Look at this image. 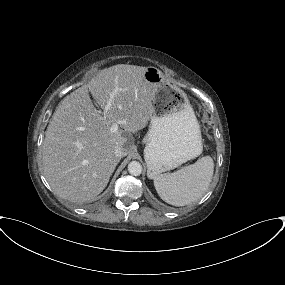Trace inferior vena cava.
I'll list each match as a JSON object with an SVG mask.
<instances>
[{"label": "inferior vena cava", "instance_id": "obj_1", "mask_svg": "<svg viewBox=\"0 0 285 285\" xmlns=\"http://www.w3.org/2000/svg\"><path fill=\"white\" fill-rule=\"evenodd\" d=\"M125 155H126V153H125V151L123 150V148L117 147V148L115 149V156H116L117 158H121V157H123V156H125Z\"/></svg>", "mask_w": 285, "mask_h": 285}]
</instances>
